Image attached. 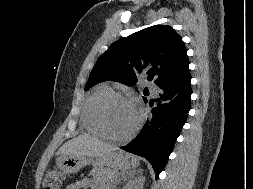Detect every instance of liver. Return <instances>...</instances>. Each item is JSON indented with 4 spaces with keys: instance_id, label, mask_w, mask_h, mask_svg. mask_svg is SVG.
<instances>
[{
    "instance_id": "obj_1",
    "label": "liver",
    "mask_w": 253,
    "mask_h": 189,
    "mask_svg": "<svg viewBox=\"0 0 253 189\" xmlns=\"http://www.w3.org/2000/svg\"><path fill=\"white\" fill-rule=\"evenodd\" d=\"M114 149L98 139L88 135H79L61 146L57 155H78L99 158Z\"/></svg>"
}]
</instances>
